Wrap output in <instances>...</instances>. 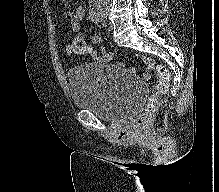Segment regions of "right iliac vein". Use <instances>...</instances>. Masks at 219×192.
<instances>
[{
    "label": "right iliac vein",
    "mask_w": 219,
    "mask_h": 192,
    "mask_svg": "<svg viewBox=\"0 0 219 192\" xmlns=\"http://www.w3.org/2000/svg\"><path fill=\"white\" fill-rule=\"evenodd\" d=\"M102 13H103L104 16H106V15H107V9H104V10L102 11Z\"/></svg>",
    "instance_id": "obj_1"
}]
</instances>
